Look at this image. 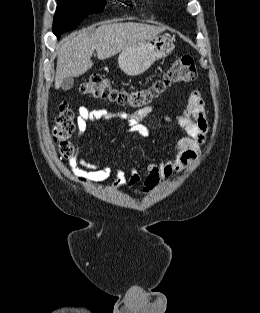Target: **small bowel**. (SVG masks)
<instances>
[{
	"label": "small bowel",
	"instance_id": "obj_1",
	"mask_svg": "<svg viewBox=\"0 0 260 313\" xmlns=\"http://www.w3.org/2000/svg\"><path fill=\"white\" fill-rule=\"evenodd\" d=\"M152 108L141 109L136 112L113 111L107 109L92 110L88 107H80L76 120L77 133L83 135L90 121L96 120H121L130 129L141 137L150 135L149 127L144 123L145 118L151 113ZM179 133L175 140V153L160 163L148 162L146 165V177L144 179L142 193H150L156 189L165 179L183 171L199 155L208 132V122L205 113V103L201 94L194 90L191 92L186 108L183 112L173 117H166ZM77 147L79 142L76 143ZM71 172L83 183L93 185L106 181L112 174L109 164H96L87 161L78 153L69 162ZM141 181V175L137 167L131 168L127 176L122 169L115 172V180L107 186L109 190L118 191L125 186L134 187Z\"/></svg>",
	"mask_w": 260,
	"mask_h": 313
}]
</instances>
